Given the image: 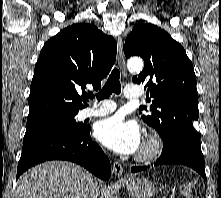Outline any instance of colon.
Listing matches in <instances>:
<instances>
[{
    "label": "colon",
    "instance_id": "obj_1",
    "mask_svg": "<svg viewBox=\"0 0 221 198\" xmlns=\"http://www.w3.org/2000/svg\"><path fill=\"white\" fill-rule=\"evenodd\" d=\"M182 191L186 198H197L193 181L185 183L182 187Z\"/></svg>",
    "mask_w": 221,
    "mask_h": 198
}]
</instances>
